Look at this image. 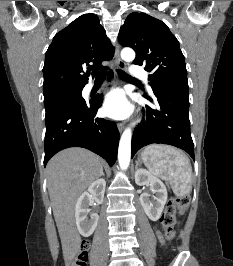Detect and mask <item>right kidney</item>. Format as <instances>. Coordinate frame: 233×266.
I'll return each instance as SVG.
<instances>
[{
	"label": "right kidney",
	"instance_id": "right-kidney-1",
	"mask_svg": "<svg viewBox=\"0 0 233 266\" xmlns=\"http://www.w3.org/2000/svg\"><path fill=\"white\" fill-rule=\"evenodd\" d=\"M105 187V180L97 179L77 200L75 206L76 225L79 233L84 237L92 235L97 226L99 216L97 213H92L88 217L89 206L93 201L99 204L103 202Z\"/></svg>",
	"mask_w": 233,
	"mask_h": 266
}]
</instances>
